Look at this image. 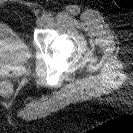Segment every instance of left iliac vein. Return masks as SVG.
Returning a JSON list of instances; mask_svg holds the SVG:
<instances>
[{
  "label": "left iliac vein",
  "mask_w": 133,
  "mask_h": 133,
  "mask_svg": "<svg viewBox=\"0 0 133 133\" xmlns=\"http://www.w3.org/2000/svg\"><path fill=\"white\" fill-rule=\"evenodd\" d=\"M45 18L42 16V17H39L37 20H36V24L38 26H42L44 23H45Z\"/></svg>",
  "instance_id": "left-iliac-vein-1"
}]
</instances>
